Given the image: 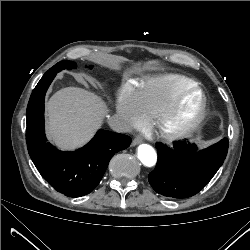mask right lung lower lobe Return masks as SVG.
<instances>
[{
    "label": "right lung lower lobe",
    "mask_w": 250,
    "mask_h": 250,
    "mask_svg": "<svg viewBox=\"0 0 250 250\" xmlns=\"http://www.w3.org/2000/svg\"><path fill=\"white\" fill-rule=\"evenodd\" d=\"M56 73L44 74L27 106L26 143L29 155L42 177L58 192L80 197L94 190L113 155L129 147L128 136L99 130L84 147L63 152L47 142L44 131L45 93Z\"/></svg>",
    "instance_id": "98d812e1"
}]
</instances>
